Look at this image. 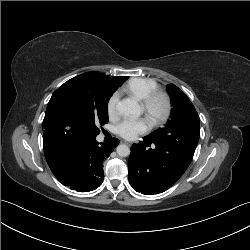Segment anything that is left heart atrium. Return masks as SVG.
Listing matches in <instances>:
<instances>
[{
  "label": "left heart atrium",
  "instance_id": "obj_1",
  "mask_svg": "<svg viewBox=\"0 0 250 250\" xmlns=\"http://www.w3.org/2000/svg\"><path fill=\"white\" fill-rule=\"evenodd\" d=\"M150 126L151 124L146 118H126L116 126L115 130L121 137L133 140L147 132Z\"/></svg>",
  "mask_w": 250,
  "mask_h": 250
}]
</instances>
